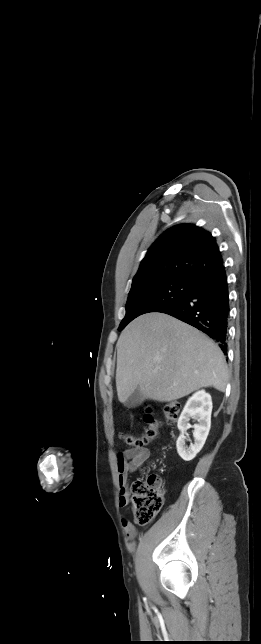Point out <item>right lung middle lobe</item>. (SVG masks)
<instances>
[{
    "label": "right lung middle lobe",
    "instance_id": "obj_1",
    "mask_svg": "<svg viewBox=\"0 0 261 644\" xmlns=\"http://www.w3.org/2000/svg\"><path fill=\"white\" fill-rule=\"evenodd\" d=\"M191 287L192 280L167 278L131 288L126 304V315L121 321L119 331L142 314L160 312L176 305L188 294Z\"/></svg>",
    "mask_w": 261,
    "mask_h": 644
}]
</instances>
